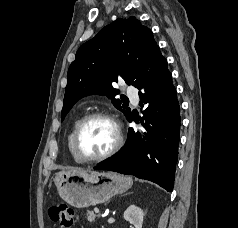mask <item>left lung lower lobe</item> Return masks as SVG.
Returning <instances> with one entry per match:
<instances>
[{
  "instance_id": "obj_1",
  "label": "left lung lower lobe",
  "mask_w": 238,
  "mask_h": 228,
  "mask_svg": "<svg viewBox=\"0 0 238 228\" xmlns=\"http://www.w3.org/2000/svg\"><path fill=\"white\" fill-rule=\"evenodd\" d=\"M140 102L148 104L143 111L146 132L129 129L125 146L94 169L134 175L152 181L167 191L173 190L180 133V107L167 60L159 48L145 66L138 86ZM143 107V104H141ZM136 121L134 114L129 122Z\"/></svg>"
}]
</instances>
